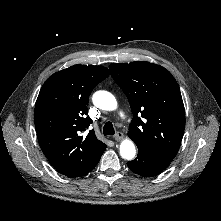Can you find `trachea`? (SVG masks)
Wrapping results in <instances>:
<instances>
[{
	"label": "trachea",
	"mask_w": 221,
	"mask_h": 221,
	"mask_svg": "<svg viewBox=\"0 0 221 221\" xmlns=\"http://www.w3.org/2000/svg\"><path fill=\"white\" fill-rule=\"evenodd\" d=\"M104 135H114L115 130L111 122H106L103 127Z\"/></svg>",
	"instance_id": "trachea-1"
}]
</instances>
